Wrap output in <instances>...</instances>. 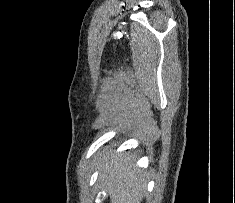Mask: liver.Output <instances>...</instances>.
I'll list each match as a JSON object with an SVG mask.
<instances>
[{
	"label": "liver",
	"instance_id": "obj_1",
	"mask_svg": "<svg viewBox=\"0 0 235 203\" xmlns=\"http://www.w3.org/2000/svg\"><path fill=\"white\" fill-rule=\"evenodd\" d=\"M99 167L98 181L108 190L111 203H141L146 184L130 154L114 156L108 152Z\"/></svg>",
	"mask_w": 235,
	"mask_h": 203
}]
</instances>
